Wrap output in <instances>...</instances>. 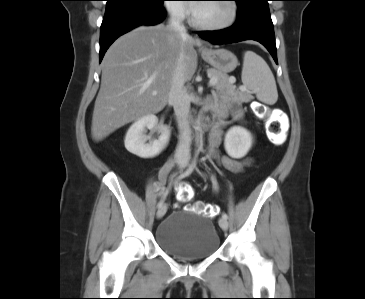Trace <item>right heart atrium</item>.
I'll return each instance as SVG.
<instances>
[{
	"instance_id": "obj_1",
	"label": "right heart atrium",
	"mask_w": 365,
	"mask_h": 299,
	"mask_svg": "<svg viewBox=\"0 0 365 299\" xmlns=\"http://www.w3.org/2000/svg\"><path fill=\"white\" fill-rule=\"evenodd\" d=\"M166 11L177 20H184L188 16V9L182 0H167Z\"/></svg>"
}]
</instances>
